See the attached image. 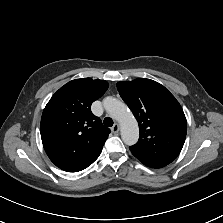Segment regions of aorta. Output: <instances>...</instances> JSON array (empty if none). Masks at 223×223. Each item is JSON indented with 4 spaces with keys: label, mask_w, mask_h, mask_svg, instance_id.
Returning a JSON list of instances; mask_svg holds the SVG:
<instances>
[{
    "label": "aorta",
    "mask_w": 223,
    "mask_h": 223,
    "mask_svg": "<svg viewBox=\"0 0 223 223\" xmlns=\"http://www.w3.org/2000/svg\"><path fill=\"white\" fill-rule=\"evenodd\" d=\"M103 105L111 118L121 127V137L125 144L132 145L139 138V126L128 106L112 97H106Z\"/></svg>",
    "instance_id": "762f6f07"
}]
</instances>
